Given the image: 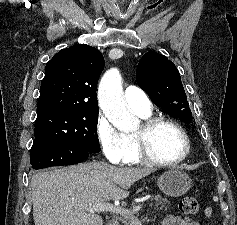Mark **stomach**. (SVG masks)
<instances>
[{"mask_svg": "<svg viewBox=\"0 0 237 225\" xmlns=\"http://www.w3.org/2000/svg\"><path fill=\"white\" fill-rule=\"evenodd\" d=\"M192 185L187 173L173 168L164 172L158 178L159 189L167 196L179 197L188 192Z\"/></svg>", "mask_w": 237, "mask_h": 225, "instance_id": "obj_1", "label": "stomach"}]
</instances>
